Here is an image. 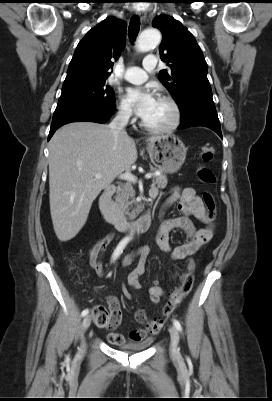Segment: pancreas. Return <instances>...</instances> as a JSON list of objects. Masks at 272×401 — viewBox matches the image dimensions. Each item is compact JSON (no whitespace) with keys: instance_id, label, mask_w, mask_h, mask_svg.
Returning <instances> with one entry per match:
<instances>
[{"instance_id":"obj_1","label":"pancreas","mask_w":272,"mask_h":401,"mask_svg":"<svg viewBox=\"0 0 272 401\" xmlns=\"http://www.w3.org/2000/svg\"><path fill=\"white\" fill-rule=\"evenodd\" d=\"M151 170L154 171L155 169L152 168ZM167 182L168 180L165 174L153 175V184L156 185L158 188H165L167 186ZM135 194V190L131 183H126L118 188L115 196L114 206L116 212L119 215H127L130 219H133L136 217L137 214L140 213L141 210L135 199ZM133 205H137L138 207L130 211Z\"/></svg>"}]
</instances>
